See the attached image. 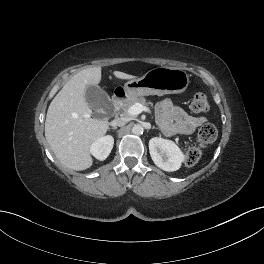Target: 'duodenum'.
<instances>
[{
	"instance_id": "duodenum-1",
	"label": "duodenum",
	"mask_w": 264,
	"mask_h": 264,
	"mask_svg": "<svg viewBox=\"0 0 264 264\" xmlns=\"http://www.w3.org/2000/svg\"><path fill=\"white\" fill-rule=\"evenodd\" d=\"M125 94L123 91H119L115 93L111 98V112L112 114H115L118 110V107L124 98Z\"/></svg>"
}]
</instances>
